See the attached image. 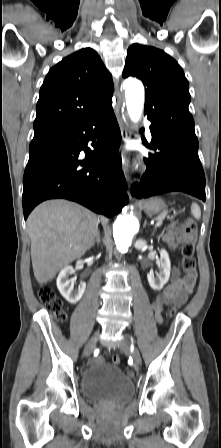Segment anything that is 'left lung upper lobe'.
I'll list each match as a JSON object with an SVG mask.
<instances>
[{"instance_id":"left-lung-upper-lobe-1","label":"left lung upper lobe","mask_w":221,"mask_h":448,"mask_svg":"<svg viewBox=\"0 0 221 448\" xmlns=\"http://www.w3.org/2000/svg\"><path fill=\"white\" fill-rule=\"evenodd\" d=\"M123 77L134 76L146 86L144 114L152 124L197 138L189 112V83L180 65L164 51L140 44L127 50Z\"/></svg>"}]
</instances>
